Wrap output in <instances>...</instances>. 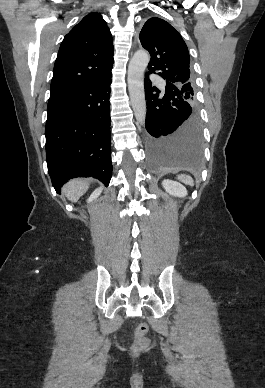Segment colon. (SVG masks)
I'll list each match as a JSON object with an SVG mask.
<instances>
[{"label": "colon", "mask_w": 265, "mask_h": 388, "mask_svg": "<svg viewBox=\"0 0 265 388\" xmlns=\"http://www.w3.org/2000/svg\"><path fill=\"white\" fill-rule=\"evenodd\" d=\"M149 327L147 323H140L135 330V348L141 349L144 348L148 344V339L145 337L148 332Z\"/></svg>", "instance_id": "colon-1"}]
</instances>
